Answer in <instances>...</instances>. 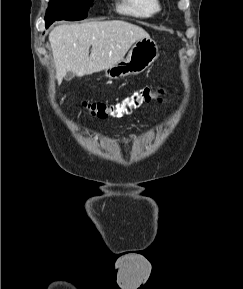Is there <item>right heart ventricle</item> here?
<instances>
[{
    "instance_id": "e07e8e85",
    "label": "right heart ventricle",
    "mask_w": 243,
    "mask_h": 289,
    "mask_svg": "<svg viewBox=\"0 0 243 289\" xmlns=\"http://www.w3.org/2000/svg\"><path fill=\"white\" fill-rule=\"evenodd\" d=\"M159 0H118V13L135 18L148 19L160 11Z\"/></svg>"
}]
</instances>
